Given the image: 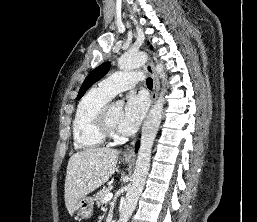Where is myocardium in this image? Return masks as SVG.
Segmentation results:
<instances>
[{
    "label": "myocardium",
    "mask_w": 257,
    "mask_h": 222,
    "mask_svg": "<svg viewBox=\"0 0 257 222\" xmlns=\"http://www.w3.org/2000/svg\"><path fill=\"white\" fill-rule=\"evenodd\" d=\"M112 106H113L112 103L106 104L102 108V110L98 116V121H97L98 129H99L100 134L105 139L119 137V133H118L117 129L111 125L110 119H109L110 109Z\"/></svg>",
    "instance_id": "f54148a6"
}]
</instances>
